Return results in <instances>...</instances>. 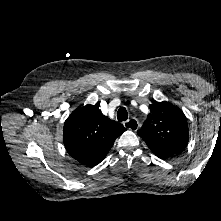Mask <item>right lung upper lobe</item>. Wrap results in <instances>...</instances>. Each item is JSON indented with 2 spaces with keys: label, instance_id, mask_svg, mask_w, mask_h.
<instances>
[{
  "label": "right lung upper lobe",
  "instance_id": "right-lung-upper-lobe-1",
  "mask_svg": "<svg viewBox=\"0 0 221 221\" xmlns=\"http://www.w3.org/2000/svg\"><path fill=\"white\" fill-rule=\"evenodd\" d=\"M126 128L101 113L97 105H86L71 113L64 124L68 153L87 166L100 163Z\"/></svg>",
  "mask_w": 221,
  "mask_h": 221
}]
</instances>
